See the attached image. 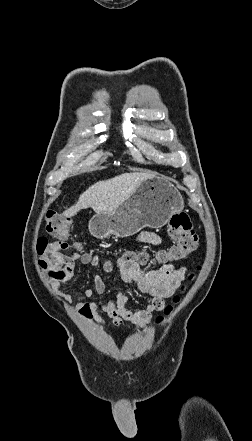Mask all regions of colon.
<instances>
[{"mask_svg": "<svg viewBox=\"0 0 252 441\" xmlns=\"http://www.w3.org/2000/svg\"><path fill=\"white\" fill-rule=\"evenodd\" d=\"M71 221L55 212L48 215L47 230L60 238H65L70 230ZM168 235L173 241V246L168 251L158 252L156 258L158 261L180 260L188 257L198 247V236L192 228L189 217L185 213H178L172 216L169 221ZM63 242L40 240L37 243V252L39 254V264L46 273L47 277L54 281H62L66 276V270L63 266L65 256L62 254ZM127 261L145 262L147 255L145 253L130 252L124 258ZM175 302L179 297L174 298ZM172 306L166 308L170 312ZM158 321L162 317H158Z\"/></svg>", "mask_w": 252, "mask_h": 441, "instance_id": "1", "label": "colon"}]
</instances>
